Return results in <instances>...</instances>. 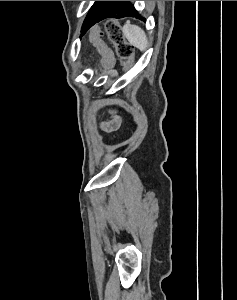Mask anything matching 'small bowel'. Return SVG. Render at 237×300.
Wrapping results in <instances>:
<instances>
[{
  "label": "small bowel",
  "mask_w": 237,
  "mask_h": 300,
  "mask_svg": "<svg viewBox=\"0 0 237 300\" xmlns=\"http://www.w3.org/2000/svg\"><path fill=\"white\" fill-rule=\"evenodd\" d=\"M108 75L111 77H115L116 72L114 70H109ZM120 125L121 118L117 115H113L110 120L101 123V129L106 133H111L116 131L120 127Z\"/></svg>",
  "instance_id": "c3829d8e"
}]
</instances>
